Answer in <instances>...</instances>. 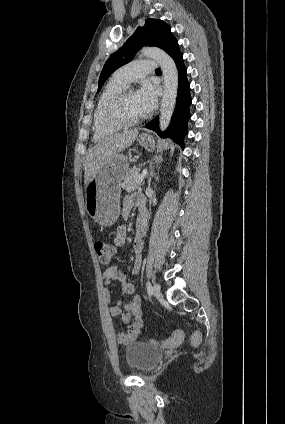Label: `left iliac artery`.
Returning a JSON list of instances; mask_svg holds the SVG:
<instances>
[{"instance_id": "44dca946", "label": "left iliac artery", "mask_w": 285, "mask_h": 424, "mask_svg": "<svg viewBox=\"0 0 285 424\" xmlns=\"http://www.w3.org/2000/svg\"><path fill=\"white\" fill-rule=\"evenodd\" d=\"M146 288H147L149 296H151L153 294V289H152V285L149 281L146 283Z\"/></svg>"}]
</instances>
